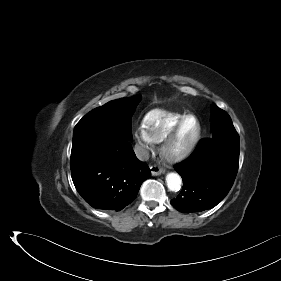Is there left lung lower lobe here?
<instances>
[{
  "label": "left lung lower lobe",
  "mask_w": 281,
  "mask_h": 281,
  "mask_svg": "<svg viewBox=\"0 0 281 281\" xmlns=\"http://www.w3.org/2000/svg\"><path fill=\"white\" fill-rule=\"evenodd\" d=\"M239 136L227 141L202 139L195 153L175 170L181 175V193L171 200L180 212L211 209L230 191L239 164Z\"/></svg>",
  "instance_id": "1"
}]
</instances>
